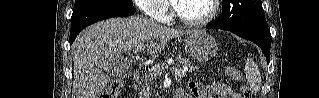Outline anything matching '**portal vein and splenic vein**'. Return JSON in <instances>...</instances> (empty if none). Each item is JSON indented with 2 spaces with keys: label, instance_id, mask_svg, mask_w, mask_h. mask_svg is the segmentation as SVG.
<instances>
[{
  "label": "portal vein and splenic vein",
  "instance_id": "portal-vein-and-splenic-vein-1",
  "mask_svg": "<svg viewBox=\"0 0 319 98\" xmlns=\"http://www.w3.org/2000/svg\"><path fill=\"white\" fill-rule=\"evenodd\" d=\"M145 48V44H141V45H138L134 48L133 52L134 53H137V52H140L142 50H144ZM167 69V67H163V69ZM172 73L175 74V76L177 77H183L185 75V71L188 70V68H184L183 70H180V69H177V68H171L170 69ZM151 71L153 72V74L155 75H159L161 74V68L159 66H154Z\"/></svg>",
  "mask_w": 319,
  "mask_h": 98
}]
</instances>
